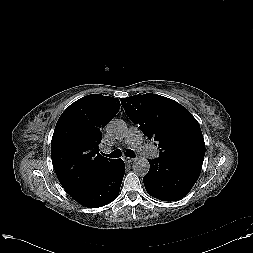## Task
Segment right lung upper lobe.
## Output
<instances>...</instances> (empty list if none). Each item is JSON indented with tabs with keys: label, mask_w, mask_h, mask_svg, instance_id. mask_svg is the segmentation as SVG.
Segmentation results:
<instances>
[{
	"label": "right lung upper lobe",
	"mask_w": 253,
	"mask_h": 253,
	"mask_svg": "<svg viewBox=\"0 0 253 253\" xmlns=\"http://www.w3.org/2000/svg\"><path fill=\"white\" fill-rule=\"evenodd\" d=\"M120 108L117 98L87 95L60 116L52 141L51 157L57 178L68 194L107 172L116 160L99 153L102 130Z\"/></svg>",
	"instance_id": "right-lung-upper-lobe-1"
}]
</instances>
